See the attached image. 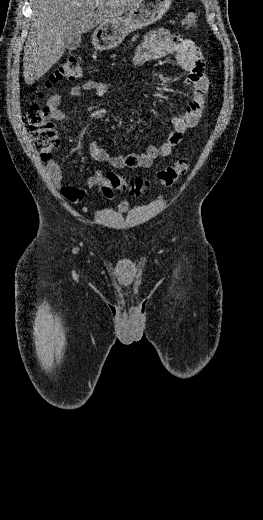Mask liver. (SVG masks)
Wrapping results in <instances>:
<instances>
[{"instance_id": "1", "label": "liver", "mask_w": 263, "mask_h": 520, "mask_svg": "<svg viewBox=\"0 0 263 520\" xmlns=\"http://www.w3.org/2000/svg\"><path fill=\"white\" fill-rule=\"evenodd\" d=\"M140 0H31L32 28L24 47L23 76L32 85L59 61L64 36L84 34L120 18Z\"/></svg>"}]
</instances>
